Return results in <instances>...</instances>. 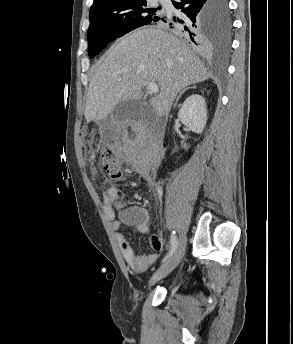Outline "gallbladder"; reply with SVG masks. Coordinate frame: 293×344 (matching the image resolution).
I'll use <instances>...</instances> for the list:
<instances>
[{
	"label": "gallbladder",
	"mask_w": 293,
	"mask_h": 344,
	"mask_svg": "<svg viewBox=\"0 0 293 344\" xmlns=\"http://www.w3.org/2000/svg\"><path fill=\"white\" fill-rule=\"evenodd\" d=\"M144 103L140 100H129L119 103L111 113V119L115 123L129 119H139Z\"/></svg>",
	"instance_id": "obj_1"
}]
</instances>
